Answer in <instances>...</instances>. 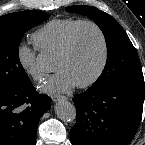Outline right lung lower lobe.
Here are the masks:
<instances>
[{"label":"right lung lower lobe","mask_w":145,"mask_h":145,"mask_svg":"<svg viewBox=\"0 0 145 145\" xmlns=\"http://www.w3.org/2000/svg\"><path fill=\"white\" fill-rule=\"evenodd\" d=\"M49 108L50 98L38 94L30 80L0 90V145H35L40 117Z\"/></svg>","instance_id":"right-lung-lower-lobe-1"}]
</instances>
